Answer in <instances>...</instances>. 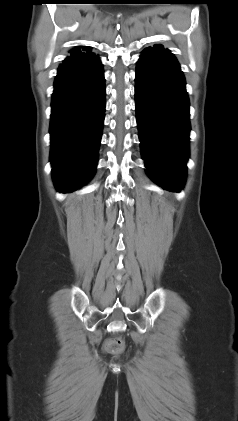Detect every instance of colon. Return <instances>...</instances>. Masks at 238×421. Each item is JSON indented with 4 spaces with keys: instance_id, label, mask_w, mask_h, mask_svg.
<instances>
[{
    "instance_id": "colon-1",
    "label": "colon",
    "mask_w": 238,
    "mask_h": 421,
    "mask_svg": "<svg viewBox=\"0 0 238 421\" xmlns=\"http://www.w3.org/2000/svg\"><path fill=\"white\" fill-rule=\"evenodd\" d=\"M106 350L114 355H118L124 350V342L120 338L109 339L106 343Z\"/></svg>"
}]
</instances>
